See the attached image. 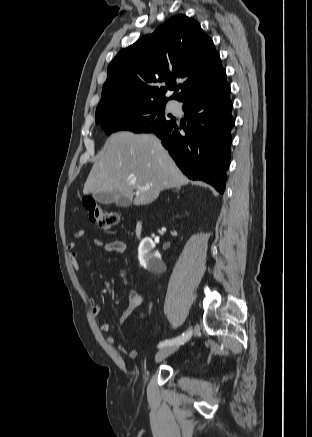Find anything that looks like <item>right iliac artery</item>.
I'll use <instances>...</instances> for the list:
<instances>
[{
    "instance_id": "82829eb1",
    "label": "right iliac artery",
    "mask_w": 312,
    "mask_h": 437,
    "mask_svg": "<svg viewBox=\"0 0 312 437\" xmlns=\"http://www.w3.org/2000/svg\"><path fill=\"white\" fill-rule=\"evenodd\" d=\"M191 335H192V330L190 329L187 332L183 333L182 335H180L174 339H170V340H166V341L161 342L158 347L162 348L164 346L172 345V344H183L184 342H186L187 340L190 339Z\"/></svg>"
}]
</instances>
